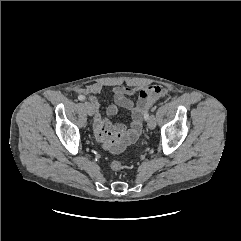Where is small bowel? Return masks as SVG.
<instances>
[{"mask_svg":"<svg viewBox=\"0 0 241 241\" xmlns=\"http://www.w3.org/2000/svg\"><path fill=\"white\" fill-rule=\"evenodd\" d=\"M102 89L103 86L100 83H93L79 89L78 94L87 96L95 108L94 133L97 140L108 151L118 153L137 140L142 129L144 113L159 97L165 95L166 89L159 85L138 88L122 85L114 87L111 91L114 103L106 108V115L113 117L118 113L119 108L127 109L131 112L129 125L113 124L101 114V104L97 95L101 93ZM134 95L138 97L136 102L130 99Z\"/></svg>","mask_w":241,"mask_h":241,"instance_id":"obj_1","label":"small bowel"}]
</instances>
